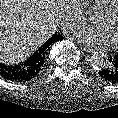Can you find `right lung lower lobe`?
I'll return each instance as SVG.
<instances>
[{"label": "right lung lower lobe", "instance_id": "right-lung-lower-lobe-1", "mask_svg": "<svg viewBox=\"0 0 118 118\" xmlns=\"http://www.w3.org/2000/svg\"><path fill=\"white\" fill-rule=\"evenodd\" d=\"M54 36L55 41L63 39L60 35ZM44 62L45 55L42 57H35L33 54L28 60L19 65L7 66L0 63V75L5 79L14 82L28 81L38 74V72L42 69Z\"/></svg>", "mask_w": 118, "mask_h": 118}]
</instances>
